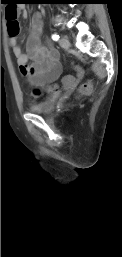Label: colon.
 Returning <instances> with one entry per match:
<instances>
[{
	"label": "colon",
	"mask_w": 122,
	"mask_h": 257,
	"mask_svg": "<svg viewBox=\"0 0 122 257\" xmlns=\"http://www.w3.org/2000/svg\"><path fill=\"white\" fill-rule=\"evenodd\" d=\"M4 10H6V18H7V26H8V32L10 36H17L20 27L19 23L17 21V11L18 5H4ZM74 64L73 62L71 63ZM84 71L77 69L76 70V79H83ZM93 85L91 82H86L80 87V93L81 94H89L92 91ZM49 90H52V87H48ZM29 94H34L35 98H44L45 89H43V86H33V89L28 90Z\"/></svg>",
	"instance_id": "obj_1"
}]
</instances>
